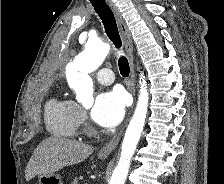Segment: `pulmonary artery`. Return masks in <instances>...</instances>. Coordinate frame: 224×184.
Returning a JSON list of instances; mask_svg holds the SVG:
<instances>
[{"instance_id":"obj_1","label":"pulmonary artery","mask_w":224,"mask_h":184,"mask_svg":"<svg viewBox=\"0 0 224 184\" xmlns=\"http://www.w3.org/2000/svg\"><path fill=\"white\" fill-rule=\"evenodd\" d=\"M96 79L98 80L99 83L108 85L115 80V77L110 69L103 68L96 73Z\"/></svg>"}]
</instances>
